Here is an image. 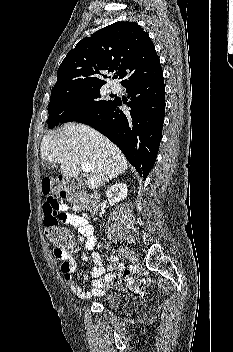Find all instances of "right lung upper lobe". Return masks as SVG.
<instances>
[{
  "instance_id": "cb5924a9",
  "label": "right lung upper lobe",
  "mask_w": 233,
  "mask_h": 352,
  "mask_svg": "<svg viewBox=\"0 0 233 352\" xmlns=\"http://www.w3.org/2000/svg\"><path fill=\"white\" fill-rule=\"evenodd\" d=\"M160 71V60L148 33L135 22H116L83 38L68 52L53 88L103 85L106 72L125 78L121 81L125 86Z\"/></svg>"
}]
</instances>
